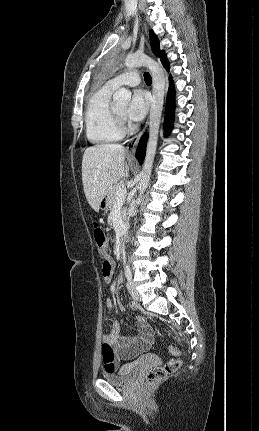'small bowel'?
Wrapping results in <instances>:
<instances>
[{"label":"small bowel","mask_w":259,"mask_h":431,"mask_svg":"<svg viewBox=\"0 0 259 431\" xmlns=\"http://www.w3.org/2000/svg\"><path fill=\"white\" fill-rule=\"evenodd\" d=\"M102 280L105 283L112 281L113 272L109 267H103L101 272ZM105 307L112 312L113 302L111 299H106ZM138 325V334L135 337H119L120 324L113 317L112 326L109 333L103 336L104 343H107L112 348V357L107 358L103 353V363L105 369L112 367L115 369L121 361L131 360L138 355L147 351L153 342L152 332L146 320L142 316L136 318Z\"/></svg>","instance_id":"small-bowel-1"}]
</instances>
